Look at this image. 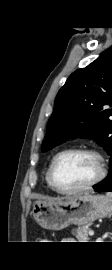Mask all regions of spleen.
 Returning a JSON list of instances; mask_svg holds the SVG:
<instances>
[{
  "mask_svg": "<svg viewBox=\"0 0 112 270\" xmlns=\"http://www.w3.org/2000/svg\"><path fill=\"white\" fill-rule=\"evenodd\" d=\"M106 196H108L109 198H111V199H112V192H108V193H106Z\"/></svg>",
  "mask_w": 112,
  "mask_h": 270,
  "instance_id": "3e777b00",
  "label": "spleen"
}]
</instances>
